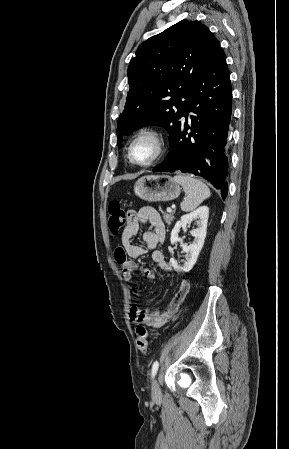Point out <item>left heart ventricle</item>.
<instances>
[{"label": "left heart ventricle", "instance_id": "obj_1", "mask_svg": "<svg viewBox=\"0 0 289 449\" xmlns=\"http://www.w3.org/2000/svg\"><path fill=\"white\" fill-rule=\"evenodd\" d=\"M155 153L154 143L147 138L137 141L132 149V155L137 162H146L152 158Z\"/></svg>", "mask_w": 289, "mask_h": 449}]
</instances>
